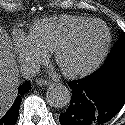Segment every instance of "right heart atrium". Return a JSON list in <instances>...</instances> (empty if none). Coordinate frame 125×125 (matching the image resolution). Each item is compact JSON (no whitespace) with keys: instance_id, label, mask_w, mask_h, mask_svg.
<instances>
[{"instance_id":"d8ad5b80","label":"right heart atrium","mask_w":125,"mask_h":125,"mask_svg":"<svg viewBox=\"0 0 125 125\" xmlns=\"http://www.w3.org/2000/svg\"><path fill=\"white\" fill-rule=\"evenodd\" d=\"M14 50L23 68L27 71L35 70L47 55L34 43L30 34L23 32L14 37Z\"/></svg>"}]
</instances>
